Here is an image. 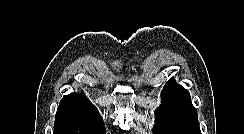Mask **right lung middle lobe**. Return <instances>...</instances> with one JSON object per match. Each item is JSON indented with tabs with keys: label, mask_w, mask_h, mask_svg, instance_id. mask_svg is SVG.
<instances>
[{
	"label": "right lung middle lobe",
	"mask_w": 244,
	"mask_h": 134,
	"mask_svg": "<svg viewBox=\"0 0 244 134\" xmlns=\"http://www.w3.org/2000/svg\"><path fill=\"white\" fill-rule=\"evenodd\" d=\"M53 134H105L102 119L55 118Z\"/></svg>",
	"instance_id": "dd1d6c3e"
}]
</instances>
